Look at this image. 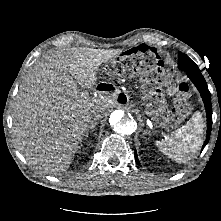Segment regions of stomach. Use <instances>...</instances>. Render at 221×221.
Listing matches in <instances>:
<instances>
[{"mask_svg":"<svg viewBox=\"0 0 221 221\" xmlns=\"http://www.w3.org/2000/svg\"><path fill=\"white\" fill-rule=\"evenodd\" d=\"M141 83L147 113L152 116L156 125L175 126L183 120L180 111L169 109L166 104L165 98L171 88L170 65L166 58H155L152 68L146 72Z\"/></svg>","mask_w":221,"mask_h":221,"instance_id":"stomach-1","label":"stomach"}]
</instances>
